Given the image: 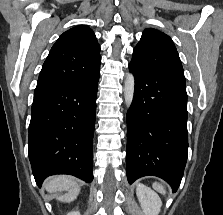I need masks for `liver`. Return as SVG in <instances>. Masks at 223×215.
Wrapping results in <instances>:
<instances>
[{
  "instance_id": "6515ba94",
  "label": "liver",
  "mask_w": 223,
  "mask_h": 215,
  "mask_svg": "<svg viewBox=\"0 0 223 215\" xmlns=\"http://www.w3.org/2000/svg\"><path fill=\"white\" fill-rule=\"evenodd\" d=\"M43 185L46 191H50V193H54V191H67L64 195H58L57 199L59 201H68V203L76 199L80 191L77 181L71 175H54V177H50V179L44 181Z\"/></svg>"
}]
</instances>
